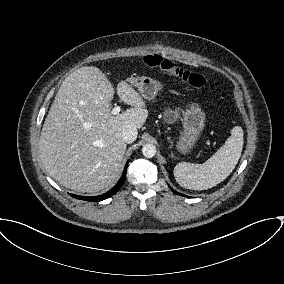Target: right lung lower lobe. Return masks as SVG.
<instances>
[{"instance_id": "1", "label": "right lung lower lobe", "mask_w": 284, "mask_h": 284, "mask_svg": "<svg viewBox=\"0 0 284 284\" xmlns=\"http://www.w3.org/2000/svg\"><path fill=\"white\" fill-rule=\"evenodd\" d=\"M126 170H127V164L124 168L122 177L120 178L119 182L107 193L103 194V195H99V196H92V197H87V196H78V195H73L70 194L71 196H73L76 199H81V200H86V201H92V202H97V201H101L104 200L106 198L111 197L112 195L116 194L118 192V190L122 187V185L124 184L125 181V177H126Z\"/></svg>"}]
</instances>
